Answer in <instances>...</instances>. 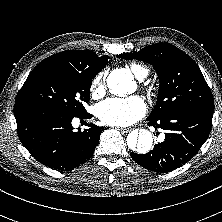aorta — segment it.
Wrapping results in <instances>:
<instances>
[{
  "label": "aorta",
  "mask_w": 222,
  "mask_h": 222,
  "mask_svg": "<svg viewBox=\"0 0 222 222\" xmlns=\"http://www.w3.org/2000/svg\"><path fill=\"white\" fill-rule=\"evenodd\" d=\"M107 86L113 94H131L135 91V82L127 69H115L107 78ZM153 144V136L146 129L135 130L127 137L129 149L138 154L149 152Z\"/></svg>",
  "instance_id": "762f6f07"
}]
</instances>
